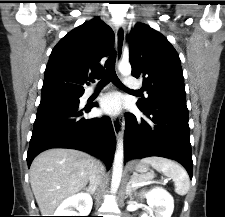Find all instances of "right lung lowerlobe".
<instances>
[{
  "mask_svg": "<svg viewBox=\"0 0 225 217\" xmlns=\"http://www.w3.org/2000/svg\"><path fill=\"white\" fill-rule=\"evenodd\" d=\"M95 106L98 104L80 109L79 103H40L27 153L28 167L34 157L44 150L72 148L102 159L110 168L116 144L110 119L82 118Z\"/></svg>",
  "mask_w": 225,
  "mask_h": 217,
  "instance_id": "1",
  "label": "right lung lower lobe"
}]
</instances>
